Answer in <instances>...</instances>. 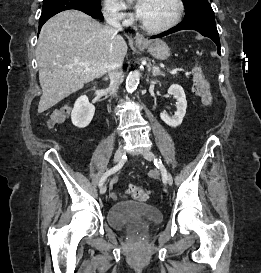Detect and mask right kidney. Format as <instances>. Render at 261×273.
<instances>
[{
  "label": "right kidney",
  "instance_id": "1",
  "mask_svg": "<svg viewBox=\"0 0 261 273\" xmlns=\"http://www.w3.org/2000/svg\"><path fill=\"white\" fill-rule=\"evenodd\" d=\"M95 113V107L91 104L88 100L86 95L80 96L73 107L71 113V120L73 125L78 128H85L87 127Z\"/></svg>",
  "mask_w": 261,
  "mask_h": 273
}]
</instances>
